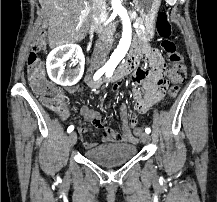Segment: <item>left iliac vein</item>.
<instances>
[{"mask_svg":"<svg viewBox=\"0 0 217 202\" xmlns=\"http://www.w3.org/2000/svg\"><path fill=\"white\" fill-rule=\"evenodd\" d=\"M140 138H141L142 142H144V143H149L150 139H151L150 135L146 134V133L141 134Z\"/></svg>","mask_w":217,"mask_h":202,"instance_id":"obj_1","label":"left iliac vein"}]
</instances>
